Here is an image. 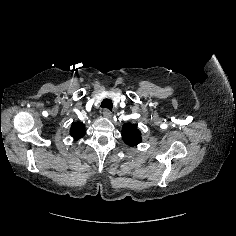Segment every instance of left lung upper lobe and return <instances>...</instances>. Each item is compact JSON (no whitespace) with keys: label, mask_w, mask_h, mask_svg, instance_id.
I'll return each mask as SVG.
<instances>
[{"label":"left lung upper lobe","mask_w":236,"mask_h":236,"mask_svg":"<svg viewBox=\"0 0 236 236\" xmlns=\"http://www.w3.org/2000/svg\"><path fill=\"white\" fill-rule=\"evenodd\" d=\"M122 138L127 145L136 146L141 142V132L136 125L127 123L123 125Z\"/></svg>","instance_id":"1"}]
</instances>
